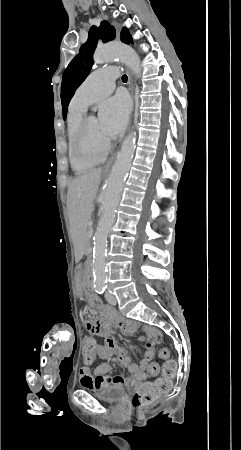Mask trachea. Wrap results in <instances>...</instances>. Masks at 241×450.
<instances>
[{"label":"trachea","mask_w":241,"mask_h":450,"mask_svg":"<svg viewBox=\"0 0 241 450\" xmlns=\"http://www.w3.org/2000/svg\"><path fill=\"white\" fill-rule=\"evenodd\" d=\"M122 80H123V81H127V76H126V75H123V76H122Z\"/></svg>","instance_id":"obj_1"}]
</instances>
